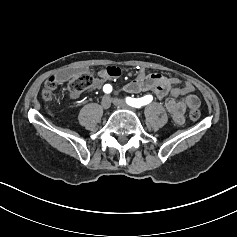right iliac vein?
Wrapping results in <instances>:
<instances>
[{
  "instance_id": "obj_1",
  "label": "right iliac vein",
  "mask_w": 237,
  "mask_h": 237,
  "mask_svg": "<svg viewBox=\"0 0 237 237\" xmlns=\"http://www.w3.org/2000/svg\"><path fill=\"white\" fill-rule=\"evenodd\" d=\"M101 107L105 110L111 107V98L109 96H104L101 100Z\"/></svg>"
}]
</instances>
